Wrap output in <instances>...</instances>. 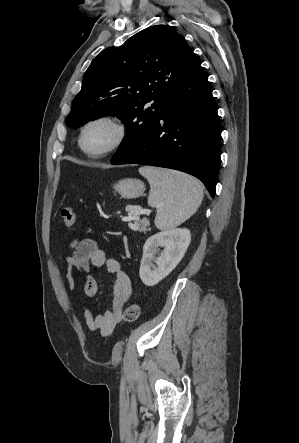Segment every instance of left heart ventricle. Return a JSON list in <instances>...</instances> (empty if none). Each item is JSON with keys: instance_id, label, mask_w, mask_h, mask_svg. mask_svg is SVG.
<instances>
[{"instance_id": "left-heart-ventricle-1", "label": "left heart ventricle", "mask_w": 299, "mask_h": 443, "mask_svg": "<svg viewBox=\"0 0 299 443\" xmlns=\"http://www.w3.org/2000/svg\"><path fill=\"white\" fill-rule=\"evenodd\" d=\"M115 138L114 128L107 123H98L91 126L85 135V147L98 152L108 147Z\"/></svg>"}]
</instances>
